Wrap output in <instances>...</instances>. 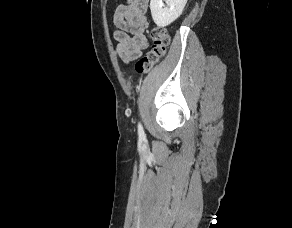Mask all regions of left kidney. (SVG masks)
Returning a JSON list of instances; mask_svg holds the SVG:
<instances>
[{"label": "left kidney", "mask_w": 292, "mask_h": 228, "mask_svg": "<svg viewBox=\"0 0 292 228\" xmlns=\"http://www.w3.org/2000/svg\"><path fill=\"white\" fill-rule=\"evenodd\" d=\"M186 3L187 0H151L150 10L153 21L159 27L168 26L182 14Z\"/></svg>", "instance_id": "left-kidney-1"}]
</instances>
